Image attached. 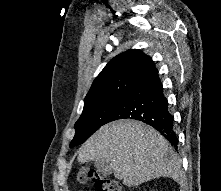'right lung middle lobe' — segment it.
I'll use <instances>...</instances> for the list:
<instances>
[{
    "label": "right lung middle lobe",
    "mask_w": 221,
    "mask_h": 191,
    "mask_svg": "<svg viewBox=\"0 0 221 191\" xmlns=\"http://www.w3.org/2000/svg\"><path fill=\"white\" fill-rule=\"evenodd\" d=\"M123 97L86 106L75 123V136L70 147L84 143L97 129L106 124Z\"/></svg>",
    "instance_id": "obj_1"
}]
</instances>
